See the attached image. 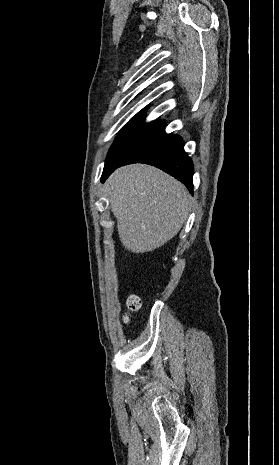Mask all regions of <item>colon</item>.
Listing matches in <instances>:
<instances>
[{"label": "colon", "instance_id": "1", "mask_svg": "<svg viewBox=\"0 0 279 465\" xmlns=\"http://www.w3.org/2000/svg\"><path fill=\"white\" fill-rule=\"evenodd\" d=\"M126 305H127V308L131 311H136L138 310L140 307H141V300L139 298V296L135 295V294H131L127 297V300H126ZM124 320L126 322L129 321V317L128 316H125L124 317Z\"/></svg>", "mask_w": 279, "mask_h": 465}]
</instances>
